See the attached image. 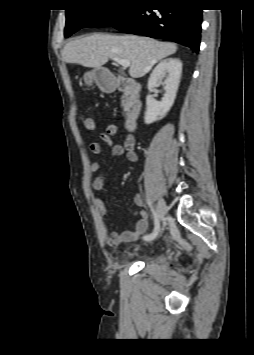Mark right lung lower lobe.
Listing matches in <instances>:
<instances>
[{
  "label": "right lung lower lobe",
  "instance_id": "right-lung-lower-lobe-1",
  "mask_svg": "<svg viewBox=\"0 0 254 355\" xmlns=\"http://www.w3.org/2000/svg\"><path fill=\"white\" fill-rule=\"evenodd\" d=\"M201 22L202 8L198 0H162L131 6L111 26L126 33L185 44L198 52Z\"/></svg>",
  "mask_w": 254,
  "mask_h": 355
}]
</instances>
